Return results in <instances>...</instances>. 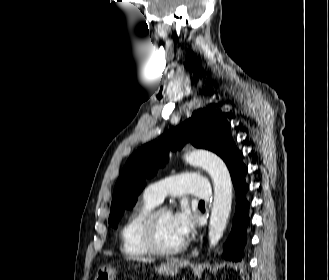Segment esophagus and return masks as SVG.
Wrapping results in <instances>:
<instances>
[{
    "instance_id": "obj_1",
    "label": "esophagus",
    "mask_w": 329,
    "mask_h": 280,
    "mask_svg": "<svg viewBox=\"0 0 329 280\" xmlns=\"http://www.w3.org/2000/svg\"><path fill=\"white\" fill-rule=\"evenodd\" d=\"M197 254H198V249L195 248V249L191 252V254H190L189 257H195V256H197Z\"/></svg>"
}]
</instances>
